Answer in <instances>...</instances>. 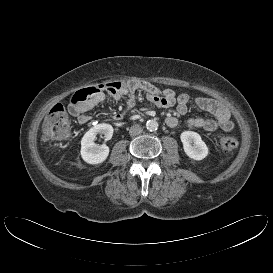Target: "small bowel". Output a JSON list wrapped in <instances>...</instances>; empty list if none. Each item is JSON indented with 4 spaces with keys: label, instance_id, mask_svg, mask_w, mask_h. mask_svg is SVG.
<instances>
[{
    "label": "small bowel",
    "instance_id": "small-bowel-1",
    "mask_svg": "<svg viewBox=\"0 0 273 273\" xmlns=\"http://www.w3.org/2000/svg\"><path fill=\"white\" fill-rule=\"evenodd\" d=\"M143 91L149 102L157 107L170 108L176 106L179 115H185L188 112L190 97L186 93L176 95L171 89L160 90L153 84L143 80L131 81L122 84L118 88L100 86L95 93L86 101L80 103H70L69 110L78 123L87 124L91 118L86 113L104 101L106 94L110 95L115 101L126 99L125 108L122 112L115 113L113 119L120 121L124 115L135 105V93ZM195 106L203 111L210 113L213 118L194 117L189 118L186 124L189 127L201 128L205 131L213 132L221 129L230 132L234 129V123L230 119L228 109L219 101L207 97H199L194 101ZM166 123L170 127H176L179 120L175 116L166 118Z\"/></svg>",
    "mask_w": 273,
    "mask_h": 273
}]
</instances>
